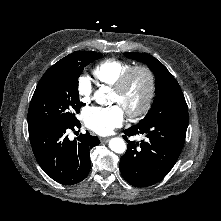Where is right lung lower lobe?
<instances>
[{
  "label": "right lung lower lobe",
  "instance_id": "obj_1",
  "mask_svg": "<svg viewBox=\"0 0 221 221\" xmlns=\"http://www.w3.org/2000/svg\"><path fill=\"white\" fill-rule=\"evenodd\" d=\"M80 127L76 123H56L29 129V138L34 156L53 180L64 185H73L84 180L91 168L90 150L100 143L88 132L70 141L68 129Z\"/></svg>",
  "mask_w": 221,
  "mask_h": 221
}]
</instances>
